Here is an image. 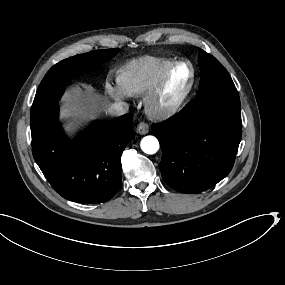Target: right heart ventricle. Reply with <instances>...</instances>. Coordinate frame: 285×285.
I'll list each match as a JSON object with an SVG mask.
<instances>
[{
  "instance_id": "1",
  "label": "right heart ventricle",
  "mask_w": 285,
  "mask_h": 285,
  "mask_svg": "<svg viewBox=\"0 0 285 285\" xmlns=\"http://www.w3.org/2000/svg\"><path fill=\"white\" fill-rule=\"evenodd\" d=\"M134 70L122 82L123 89L131 96H140L151 89L171 67V62L160 57L144 56L133 63Z\"/></svg>"
}]
</instances>
